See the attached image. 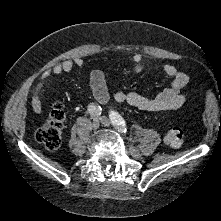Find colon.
I'll use <instances>...</instances> for the list:
<instances>
[{
  "instance_id": "1",
  "label": "colon",
  "mask_w": 221,
  "mask_h": 221,
  "mask_svg": "<svg viewBox=\"0 0 221 221\" xmlns=\"http://www.w3.org/2000/svg\"><path fill=\"white\" fill-rule=\"evenodd\" d=\"M65 112L63 105L57 103L49 112L46 122L38 128L35 137L47 149L55 150L60 146L63 132ZM184 134L180 127H172L165 136V142L172 148H180Z\"/></svg>"
}]
</instances>
